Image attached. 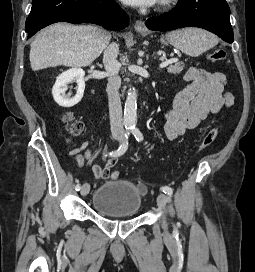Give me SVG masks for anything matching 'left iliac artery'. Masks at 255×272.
<instances>
[{
  "label": "left iliac artery",
  "instance_id": "obj_1",
  "mask_svg": "<svg viewBox=\"0 0 255 272\" xmlns=\"http://www.w3.org/2000/svg\"><path fill=\"white\" fill-rule=\"evenodd\" d=\"M132 133H133L134 137L136 138V140H137L138 142L143 140V135H142V133L140 132V130H139L138 128L132 127ZM161 190H162L165 194H167L168 196H170V197H171L172 194H173V190H172V188L169 187V186H164V187L161 188ZM173 232H174L175 235L178 234L176 228H174V231H173Z\"/></svg>",
  "mask_w": 255,
  "mask_h": 272
}]
</instances>
